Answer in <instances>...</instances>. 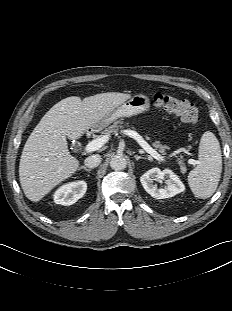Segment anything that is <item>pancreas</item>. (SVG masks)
Masks as SVG:
<instances>
[{
    "label": "pancreas",
    "mask_w": 232,
    "mask_h": 311,
    "mask_svg": "<svg viewBox=\"0 0 232 311\" xmlns=\"http://www.w3.org/2000/svg\"><path fill=\"white\" fill-rule=\"evenodd\" d=\"M123 121L122 120H118L116 122H114L113 125H110L108 128H106L103 133L105 134H115L117 133L120 129L123 128ZM147 140H149L150 138L149 137H146ZM160 153H162L163 155H165V151L167 149V146L165 145H162L159 141H155L153 144H152Z\"/></svg>",
    "instance_id": "1"
}]
</instances>
